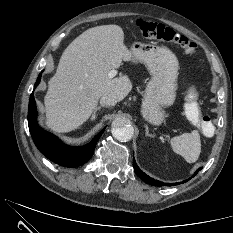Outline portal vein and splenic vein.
Here are the masks:
<instances>
[{"label": "portal vein and splenic vein", "mask_w": 233, "mask_h": 233, "mask_svg": "<svg viewBox=\"0 0 233 233\" xmlns=\"http://www.w3.org/2000/svg\"><path fill=\"white\" fill-rule=\"evenodd\" d=\"M117 73H118L117 70L113 69V70L108 72V77L109 78H114L117 75Z\"/></svg>", "instance_id": "portal-vein-and-splenic-vein-1"}]
</instances>
